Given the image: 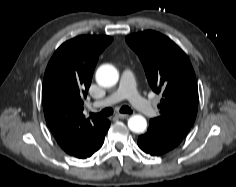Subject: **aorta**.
Here are the masks:
<instances>
[{"mask_svg": "<svg viewBox=\"0 0 236 187\" xmlns=\"http://www.w3.org/2000/svg\"><path fill=\"white\" fill-rule=\"evenodd\" d=\"M118 79L119 73L113 65H101L96 71V81L102 87H112ZM128 127L134 133H143L146 130L147 121L141 115H133L128 119Z\"/></svg>", "mask_w": 236, "mask_h": 187, "instance_id": "obj_1", "label": "aorta"}]
</instances>
